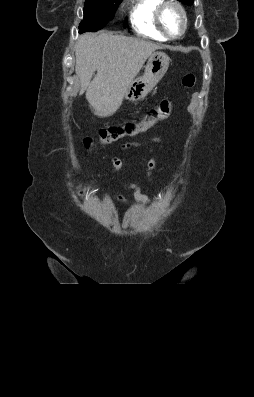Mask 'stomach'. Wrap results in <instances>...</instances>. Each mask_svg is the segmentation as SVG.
I'll use <instances>...</instances> for the list:
<instances>
[{"label": "stomach", "mask_w": 254, "mask_h": 397, "mask_svg": "<svg viewBox=\"0 0 254 397\" xmlns=\"http://www.w3.org/2000/svg\"><path fill=\"white\" fill-rule=\"evenodd\" d=\"M170 58L162 51L153 52L147 61L144 73L133 79L127 86L123 99L129 102L140 101L155 87L165 75Z\"/></svg>", "instance_id": "obj_1"}]
</instances>
